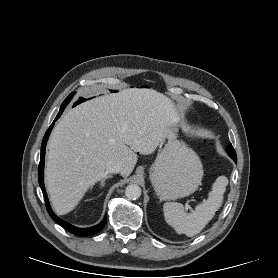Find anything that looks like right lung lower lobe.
<instances>
[{
	"label": "right lung lower lobe",
	"instance_id": "98d812e1",
	"mask_svg": "<svg viewBox=\"0 0 278 278\" xmlns=\"http://www.w3.org/2000/svg\"><path fill=\"white\" fill-rule=\"evenodd\" d=\"M65 107H66V105H63V106L61 105L59 113L57 114L54 122L60 117V115L64 111ZM54 122L49 127V129L46 131L45 136H44L43 141H42L41 156H40L39 171H38L39 185H40L41 190H42L43 195H44L46 208H47V211H48L49 215L53 218V220H55L58 224H60L63 228H65L69 232H71L73 234H76V235L90 236V235H93V234L97 233L105 225L106 220H107L106 216L104 217L103 221L96 226H93V227H90V228H78V227L72 226L71 224H69V223L63 221L62 219H60L59 217H57L53 213V211L51 210V207L49 205V201H48L47 194H46L45 187H44L43 169H44L45 146H46V142L48 140L49 134H50V132L53 128Z\"/></svg>",
	"mask_w": 278,
	"mask_h": 278
}]
</instances>
